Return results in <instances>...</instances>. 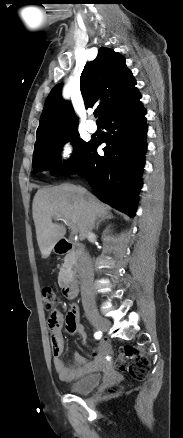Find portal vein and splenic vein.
Instances as JSON below:
<instances>
[{"label":"portal vein and splenic vein","instance_id":"18ae733b","mask_svg":"<svg viewBox=\"0 0 183 438\" xmlns=\"http://www.w3.org/2000/svg\"><path fill=\"white\" fill-rule=\"evenodd\" d=\"M57 220H64L63 218H61L60 216H56ZM72 226V225H71ZM72 232L76 233V229L74 228V226H72Z\"/></svg>","mask_w":183,"mask_h":438}]
</instances>
